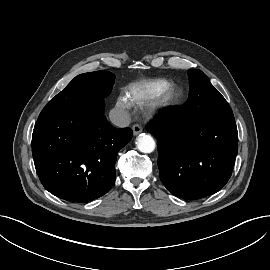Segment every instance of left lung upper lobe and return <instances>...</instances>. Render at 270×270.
<instances>
[{"label":"left lung upper lobe","mask_w":270,"mask_h":270,"mask_svg":"<svg viewBox=\"0 0 270 270\" xmlns=\"http://www.w3.org/2000/svg\"><path fill=\"white\" fill-rule=\"evenodd\" d=\"M189 76V98L197 112L206 117L233 115L225 98L210 83L207 76L200 70L191 69Z\"/></svg>","instance_id":"1"}]
</instances>
